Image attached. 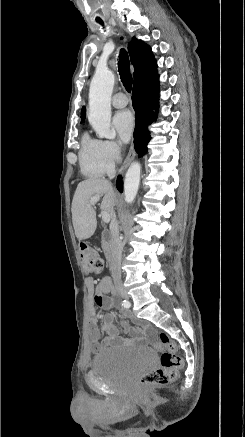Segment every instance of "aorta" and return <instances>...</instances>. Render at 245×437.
Instances as JSON below:
<instances>
[{
	"label": "aorta",
	"mask_w": 245,
	"mask_h": 437,
	"mask_svg": "<svg viewBox=\"0 0 245 437\" xmlns=\"http://www.w3.org/2000/svg\"><path fill=\"white\" fill-rule=\"evenodd\" d=\"M115 76L108 69H97L89 89L88 120L100 138L114 139L116 132L111 128V95ZM141 166L134 162L128 168L124 179L125 201L131 204L138 192Z\"/></svg>",
	"instance_id": "aorta-1"
}]
</instances>
